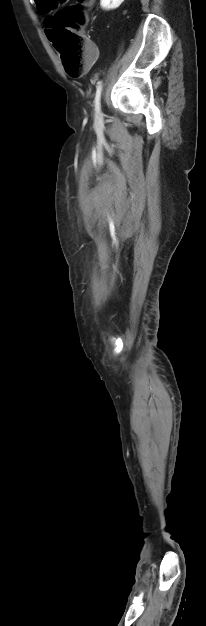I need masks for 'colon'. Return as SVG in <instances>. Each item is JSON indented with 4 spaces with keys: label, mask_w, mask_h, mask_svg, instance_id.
Wrapping results in <instances>:
<instances>
[{
    "label": "colon",
    "mask_w": 206,
    "mask_h": 626,
    "mask_svg": "<svg viewBox=\"0 0 206 626\" xmlns=\"http://www.w3.org/2000/svg\"><path fill=\"white\" fill-rule=\"evenodd\" d=\"M66 2L67 0H42L40 9L57 10L48 19L51 27L50 39L59 52L67 73L79 76L89 59L82 28L87 22L86 9L92 6L94 0H76L72 5H66Z\"/></svg>",
    "instance_id": "colon-1"
}]
</instances>
